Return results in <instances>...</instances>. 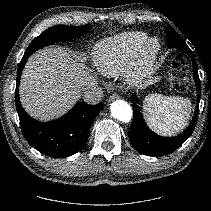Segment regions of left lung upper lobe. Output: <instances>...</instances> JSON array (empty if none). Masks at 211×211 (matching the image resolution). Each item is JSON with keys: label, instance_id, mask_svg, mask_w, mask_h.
<instances>
[{"label": "left lung upper lobe", "instance_id": "obj_1", "mask_svg": "<svg viewBox=\"0 0 211 211\" xmlns=\"http://www.w3.org/2000/svg\"><path fill=\"white\" fill-rule=\"evenodd\" d=\"M172 39H182L179 34L171 27L167 26V32H166V42L171 41Z\"/></svg>", "mask_w": 211, "mask_h": 211}]
</instances>
